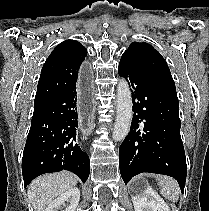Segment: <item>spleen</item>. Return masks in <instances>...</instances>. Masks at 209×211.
I'll return each instance as SVG.
<instances>
[{
	"mask_svg": "<svg viewBox=\"0 0 209 211\" xmlns=\"http://www.w3.org/2000/svg\"><path fill=\"white\" fill-rule=\"evenodd\" d=\"M161 194L169 201L175 202L179 198L180 188L177 181L168 176L159 177Z\"/></svg>",
	"mask_w": 209,
	"mask_h": 211,
	"instance_id": "obj_1",
	"label": "spleen"
}]
</instances>
